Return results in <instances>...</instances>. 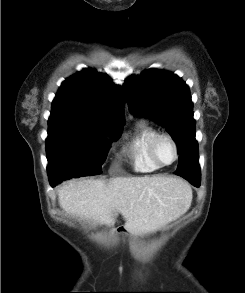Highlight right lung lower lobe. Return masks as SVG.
Returning a JSON list of instances; mask_svg holds the SVG:
<instances>
[{
	"label": "right lung lower lobe",
	"mask_w": 245,
	"mask_h": 293,
	"mask_svg": "<svg viewBox=\"0 0 245 293\" xmlns=\"http://www.w3.org/2000/svg\"><path fill=\"white\" fill-rule=\"evenodd\" d=\"M56 184H57V183H55V182H50V185H51L52 187H54Z\"/></svg>",
	"instance_id": "obj_1"
}]
</instances>
